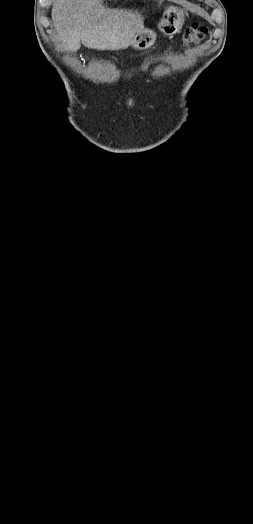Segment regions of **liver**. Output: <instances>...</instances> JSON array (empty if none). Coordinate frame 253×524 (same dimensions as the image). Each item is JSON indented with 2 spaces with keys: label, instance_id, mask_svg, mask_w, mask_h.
<instances>
[{
  "label": "liver",
  "instance_id": "6515ba94",
  "mask_svg": "<svg viewBox=\"0 0 253 524\" xmlns=\"http://www.w3.org/2000/svg\"><path fill=\"white\" fill-rule=\"evenodd\" d=\"M52 20L57 41L64 52L81 47L97 50H120L134 43L143 30L138 12L111 9L101 0H55Z\"/></svg>",
  "mask_w": 253,
  "mask_h": 524
}]
</instances>
